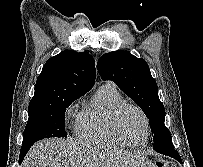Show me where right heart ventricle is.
Segmentation results:
<instances>
[{
  "label": "right heart ventricle",
  "mask_w": 203,
  "mask_h": 167,
  "mask_svg": "<svg viewBox=\"0 0 203 167\" xmlns=\"http://www.w3.org/2000/svg\"><path fill=\"white\" fill-rule=\"evenodd\" d=\"M124 102V97L115 85H101L78 116L75 124L76 136L89 143L126 146L110 128L114 111Z\"/></svg>",
  "instance_id": "e07e8e85"
}]
</instances>
